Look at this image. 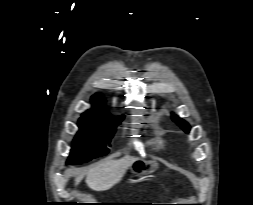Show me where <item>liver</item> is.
Segmentation results:
<instances>
[{
	"label": "liver",
	"mask_w": 253,
	"mask_h": 205,
	"mask_svg": "<svg viewBox=\"0 0 253 205\" xmlns=\"http://www.w3.org/2000/svg\"><path fill=\"white\" fill-rule=\"evenodd\" d=\"M136 158L126 156L118 160H108L89 169L86 173V184L95 191H104L112 187ZM82 175L75 179L77 185Z\"/></svg>",
	"instance_id": "liver-1"
}]
</instances>
